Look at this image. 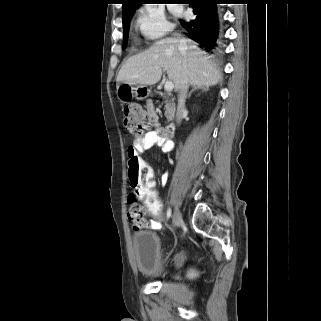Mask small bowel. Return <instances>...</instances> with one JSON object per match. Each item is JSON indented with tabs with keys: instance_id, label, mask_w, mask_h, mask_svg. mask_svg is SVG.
Segmentation results:
<instances>
[{
	"instance_id": "1",
	"label": "small bowel",
	"mask_w": 321,
	"mask_h": 321,
	"mask_svg": "<svg viewBox=\"0 0 321 321\" xmlns=\"http://www.w3.org/2000/svg\"><path fill=\"white\" fill-rule=\"evenodd\" d=\"M148 109L153 111L151 105L148 106ZM151 147H161L164 152L169 153L173 149V144L164 133V130L158 127L154 131H150L143 136L136 137L133 141V144L128 148V156L131 154L138 155ZM150 172L153 175L151 169ZM140 199L143 201V198ZM143 227L149 229H159L161 227V223L154 221L145 222Z\"/></svg>"
}]
</instances>
